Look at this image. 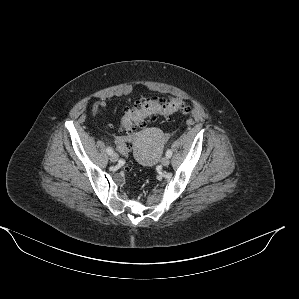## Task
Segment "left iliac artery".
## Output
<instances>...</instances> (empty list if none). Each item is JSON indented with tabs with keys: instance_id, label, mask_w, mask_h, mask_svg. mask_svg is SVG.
<instances>
[{
	"instance_id": "1",
	"label": "left iliac artery",
	"mask_w": 299,
	"mask_h": 299,
	"mask_svg": "<svg viewBox=\"0 0 299 299\" xmlns=\"http://www.w3.org/2000/svg\"><path fill=\"white\" fill-rule=\"evenodd\" d=\"M166 156L170 158L172 156V151L170 149L167 150Z\"/></svg>"
}]
</instances>
